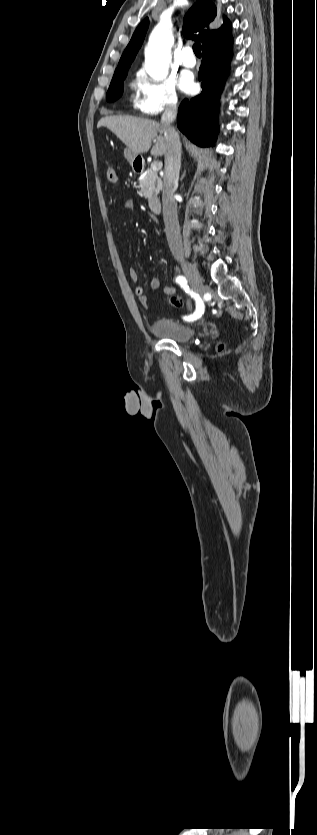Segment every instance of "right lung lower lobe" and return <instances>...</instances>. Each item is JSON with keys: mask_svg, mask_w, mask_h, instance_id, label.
<instances>
[{"mask_svg": "<svg viewBox=\"0 0 317 835\" xmlns=\"http://www.w3.org/2000/svg\"><path fill=\"white\" fill-rule=\"evenodd\" d=\"M231 44L232 37L228 34L202 46L203 60L199 71L202 92L190 100H183L178 109V128L197 145L213 144L218 133V101L228 72Z\"/></svg>", "mask_w": 317, "mask_h": 835, "instance_id": "1", "label": "right lung lower lobe"}]
</instances>
